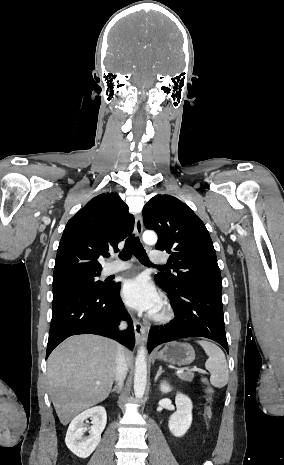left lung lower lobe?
I'll use <instances>...</instances> for the list:
<instances>
[{"label":"left lung lower lobe","instance_id":"left-lung-lower-lobe-1","mask_svg":"<svg viewBox=\"0 0 284 465\" xmlns=\"http://www.w3.org/2000/svg\"><path fill=\"white\" fill-rule=\"evenodd\" d=\"M156 282L169 294L176 317L167 327L150 330L149 351L180 338L206 337L221 344L228 352L221 291L201 286H182L177 292H172L159 281Z\"/></svg>","mask_w":284,"mask_h":465}]
</instances>
